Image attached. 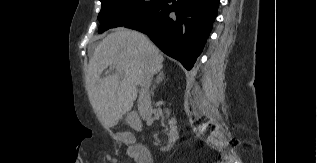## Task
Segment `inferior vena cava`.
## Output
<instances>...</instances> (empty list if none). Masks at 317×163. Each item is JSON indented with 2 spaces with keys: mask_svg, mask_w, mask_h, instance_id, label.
I'll return each instance as SVG.
<instances>
[{
  "mask_svg": "<svg viewBox=\"0 0 317 163\" xmlns=\"http://www.w3.org/2000/svg\"><path fill=\"white\" fill-rule=\"evenodd\" d=\"M153 74L148 71L142 76L138 98V110L142 118L147 119L152 114L151 97H150V85L152 81Z\"/></svg>",
  "mask_w": 317,
  "mask_h": 163,
  "instance_id": "602c4592",
  "label": "inferior vena cava"
}]
</instances>
